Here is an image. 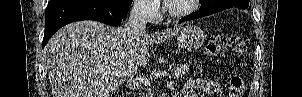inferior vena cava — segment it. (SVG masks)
Listing matches in <instances>:
<instances>
[{
    "mask_svg": "<svg viewBox=\"0 0 302 97\" xmlns=\"http://www.w3.org/2000/svg\"><path fill=\"white\" fill-rule=\"evenodd\" d=\"M148 6L145 1H137L134 3L128 22L125 26L128 32L138 35L146 32Z\"/></svg>",
    "mask_w": 302,
    "mask_h": 97,
    "instance_id": "inferior-vena-cava-1",
    "label": "inferior vena cava"
}]
</instances>
